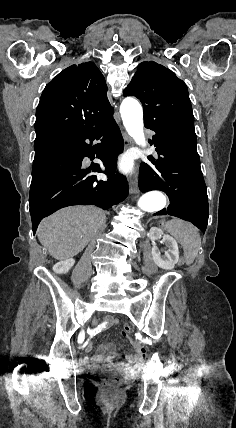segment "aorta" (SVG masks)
<instances>
[{"label": "aorta", "mask_w": 236, "mask_h": 428, "mask_svg": "<svg viewBox=\"0 0 236 428\" xmlns=\"http://www.w3.org/2000/svg\"><path fill=\"white\" fill-rule=\"evenodd\" d=\"M120 113L124 127L137 145L146 146L143 124V109L134 98L128 97L120 106ZM138 207L146 212H158L166 206V197L159 191H151L143 194L137 203Z\"/></svg>", "instance_id": "762f6f07"}]
</instances>
